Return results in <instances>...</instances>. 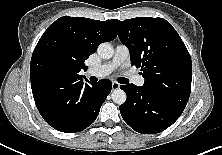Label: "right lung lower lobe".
I'll return each mask as SVG.
<instances>
[{
	"mask_svg": "<svg viewBox=\"0 0 222 155\" xmlns=\"http://www.w3.org/2000/svg\"><path fill=\"white\" fill-rule=\"evenodd\" d=\"M111 87L108 80L84 84L81 78L62 87L55 85L32 89V92L44 120L58 131L73 133L95 121Z\"/></svg>",
	"mask_w": 222,
	"mask_h": 155,
	"instance_id": "obj_1",
	"label": "right lung lower lobe"
}]
</instances>
